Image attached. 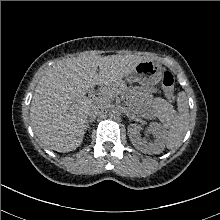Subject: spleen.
Returning <instances> with one entry per match:
<instances>
[{
  "label": "spleen",
  "mask_w": 220,
  "mask_h": 220,
  "mask_svg": "<svg viewBox=\"0 0 220 220\" xmlns=\"http://www.w3.org/2000/svg\"><path fill=\"white\" fill-rule=\"evenodd\" d=\"M178 113L174 114L168 124L169 130L165 139L167 149L178 148L188 130L189 112L188 103L184 93L178 96Z\"/></svg>",
  "instance_id": "1"
}]
</instances>
